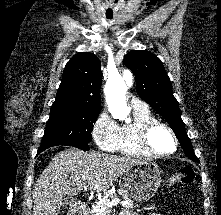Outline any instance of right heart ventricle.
Returning a JSON list of instances; mask_svg holds the SVG:
<instances>
[{
	"label": "right heart ventricle",
	"instance_id": "1",
	"mask_svg": "<svg viewBox=\"0 0 221 215\" xmlns=\"http://www.w3.org/2000/svg\"><path fill=\"white\" fill-rule=\"evenodd\" d=\"M157 118L148 108L133 110V121L120 127L117 151L132 156H147L138 145V134L140 129L147 123L155 121Z\"/></svg>",
	"mask_w": 221,
	"mask_h": 215
}]
</instances>
